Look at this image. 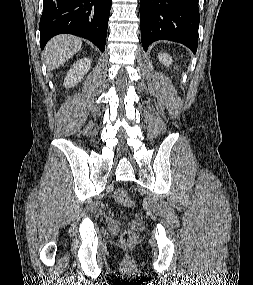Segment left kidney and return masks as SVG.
Segmentation results:
<instances>
[{
  "label": "left kidney",
  "mask_w": 253,
  "mask_h": 285,
  "mask_svg": "<svg viewBox=\"0 0 253 285\" xmlns=\"http://www.w3.org/2000/svg\"><path fill=\"white\" fill-rule=\"evenodd\" d=\"M158 58L160 63L169 67L172 64V57L167 53H160L158 54Z\"/></svg>",
  "instance_id": "1"
}]
</instances>
